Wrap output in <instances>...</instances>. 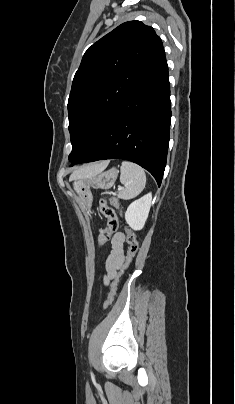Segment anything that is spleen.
<instances>
[{"label": "spleen", "mask_w": 235, "mask_h": 404, "mask_svg": "<svg viewBox=\"0 0 235 404\" xmlns=\"http://www.w3.org/2000/svg\"><path fill=\"white\" fill-rule=\"evenodd\" d=\"M120 172V182L125 188L118 194V197L129 200L139 195L146 184L144 169L132 162L123 161Z\"/></svg>", "instance_id": "1"}]
</instances>
